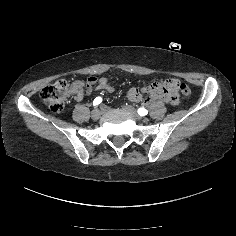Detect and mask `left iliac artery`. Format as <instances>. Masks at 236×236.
Segmentation results:
<instances>
[{
    "label": "left iliac artery",
    "instance_id": "1",
    "mask_svg": "<svg viewBox=\"0 0 236 236\" xmlns=\"http://www.w3.org/2000/svg\"><path fill=\"white\" fill-rule=\"evenodd\" d=\"M137 112L140 116H144L148 114V111L145 108H139Z\"/></svg>",
    "mask_w": 236,
    "mask_h": 236
}]
</instances>
